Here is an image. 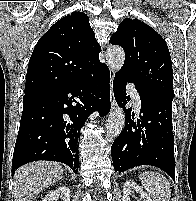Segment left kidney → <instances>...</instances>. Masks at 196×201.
Instances as JSON below:
<instances>
[{"label": "left kidney", "instance_id": "obj_1", "mask_svg": "<svg viewBox=\"0 0 196 201\" xmlns=\"http://www.w3.org/2000/svg\"><path fill=\"white\" fill-rule=\"evenodd\" d=\"M139 193L143 201H152L146 192L131 180H127L123 186V201H130V196L134 193Z\"/></svg>", "mask_w": 196, "mask_h": 201}]
</instances>
